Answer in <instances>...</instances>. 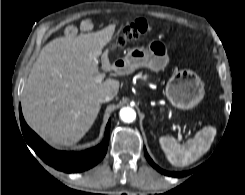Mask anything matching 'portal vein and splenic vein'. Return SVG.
<instances>
[{
    "mask_svg": "<svg viewBox=\"0 0 245 195\" xmlns=\"http://www.w3.org/2000/svg\"><path fill=\"white\" fill-rule=\"evenodd\" d=\"M105 77V74L104 73H100V74H97L94 78L95 82L96 83H100Z\"/></svg>",
    "mask_w": 245,
    "mask_h": 195,
    "instance_id": "1",
    "label": "portal vein and splenic vein"
}]
</instances>
